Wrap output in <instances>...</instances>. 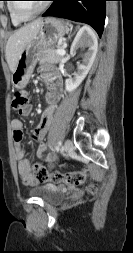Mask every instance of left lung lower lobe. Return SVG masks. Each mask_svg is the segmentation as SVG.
Listing matches in <instances>:
<instances>
[{
    "label": "left lung lower lobe",
    "mask_w": 133,
    "mask_h": 253,
    "mask_svg": "<svg viewBox=\"0 0 133 253\" xmlns=\"http://www.w3.org/2000/svg\"><path fill=\"white\" fill-rule=\"evenodd\" d=\"M50 8L42 16H56L91 25L101 36L107 0H51Z\"/></svg>",
    "instance_id": "1"
}]
</instances>
